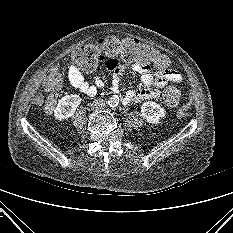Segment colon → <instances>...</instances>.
I'll return each instance as SVG.
<instances>
[{"mask_svg":"<svg viewBox=\"0 0 233 233\" xmlns=\"http://www.w3.org/2000/svg\"><path fill=\"white\" fill-rule=\"evenodd\" d=\"M106 58H121L128 64L153 65L159 70L169 67V59L147 44L137 39H120L116 36H106L95 44L84 45L72 54V61L85 71H91L100 60ZM64 82L62 71L55 67L51 69L44 80V88L50 92L44 102L43 108L51 112L56 103L55 92L59 90ZM181 93L176 87H168L164 90L162 98L168 107H175L180 101Z\"/></svg>","mask_w":233,"mask_h":233,"instance_id":"colon-1","label":"colon"}]
</instances>
